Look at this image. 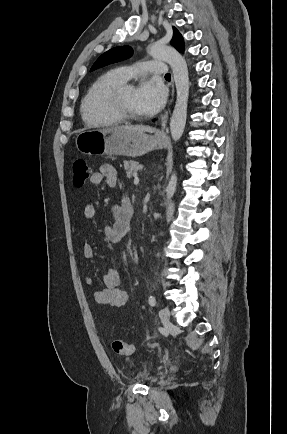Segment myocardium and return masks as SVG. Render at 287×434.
Returning a JSON list of instances; mask_svg holds the SVG:
<instances>
[{
  "label": "myocardium",
  "mask_w": 287,
  "mask_h": 434,
  "mask_svg": "<svg viewBox=\"0 0 287 434\" xmlns=\"http://www.w3.org/2000/svg\"><path fill=\"white\" fill-rule=\"evenodd\" d=\"M132 88L129 83H123L115 87L107 97V104L110 111L121 121H138L144 118L143 114L129 112L123 103V93L126 89Z\"/></svg>",
  "instance_id": "f54148a6"
}]
</instances>
